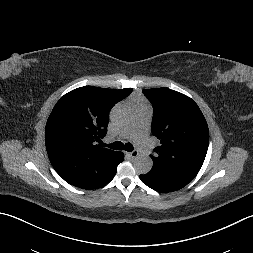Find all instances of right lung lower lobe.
I'll use <instances>...</instances> for the list:
<instances>
[{
    "label": "right lung lower lobe",
    "mask_w": 253,
    "mask_h": 253,
    "mask_svg": "<svg viewBox=\"0 0 253 253\" xmlns=\"http://www.w3.org/2000/svg\"><path fill=\"white\" fill-rule=\"evenodd\" d=\"M124 160V154L122 152H118L116 158L114 159L113 163L106 169L104 175L94 184L89 186H80L82 189H97L99 187L104 186L109 181L113 179L117 172V166ZM79 187V186H77Z\"/></svg>",
    "instance_id": "98d812e1"
}]
</instances>
